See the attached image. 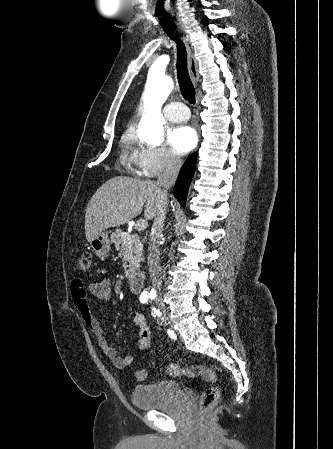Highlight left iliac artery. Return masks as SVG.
Wrapping results in <instances>:
<instances>
[{
  "label": "left iliac artery",
  "mask_w": 333,
  "mask_h": 449,
  "mask_svg": "<svg viewBox=\"0 0 333 449\" xmlns=\"http://www.w3.org/2000/svg\"><path fill=\"white\" fill-rule=\"evenodd\" d=\"M152 314L154 313V316H159V311L158 310H156L155 308L154 309H152Z\"/></svg>",
  "instance_id": "obj_1"
}]
</instances>
